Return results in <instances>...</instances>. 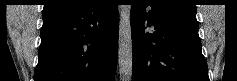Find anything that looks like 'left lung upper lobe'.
<instances>
[{
  "label": "left lung upper lobe",
  "instance_id": "obj_1",
  "mask_svg": "<svg viewBox=\"0 0 237 81\" xmlns=\"http://www.w3.org/2000/svg\"><path fill=\"white\" fill-rule=\"evenodd\" d=\"M160 6L168 9L196 14L194 0H154Z\"/></svg>",
  "mask_w": 237,
  "mask_h": 81
}]
</instances>
